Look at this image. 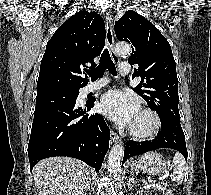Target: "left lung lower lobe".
Masks as SVG:
<instances>
[{"mask_svg": "<svg viewBox=\"0 0 211 195\" xmlns=\"http://www.w3.org/2000/svg\"><path fill=\"white\" fill-rule=\"evenodd\" d=\"M161 131L157 137L150 141L135 142L129 141L126 144L123 163L134 155L145 153L159 148H171L179 151L187 160V149L185 136L180 121L161 120Z\"/></svg>", "mask_w": 211, "mask_h": 195, "instance_id": "left-lung-lower-lobe-1", "label": "left lung lower lobe"}]
</instances>
